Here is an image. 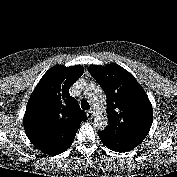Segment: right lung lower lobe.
<instances>
[{
	"mask_svg": "<svg viewBox=\"0 0 177 177\" xmlns=\"http://www.w3.org/2000/svg\"><path fill=\"white\" fill-rule=\"evenodd\" d=\"M38 149H40V150H42L43 152H45V153H47V154H49V155H57V154H60V153H62V152H64V151H66L69 147H65L64 149H62L61 151H57V152H55V153H48V152H46V150H51V148H47V147H44L43 145H38V146H36Z\"/></svg>",
	"mask_w": 177,
	"mask_h": 177,
	"instance_id": "right-lung-lower-lobe-1",
	"label": "right lung lower lobe"
}]
</instances>
